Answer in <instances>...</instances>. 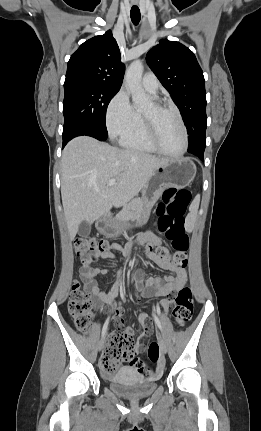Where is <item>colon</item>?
Masks as SVG:
<instances>
[{"label":"colon","instance_id":"obj_1","mask_svg":"<svg viewBox=\"0 0 261 431\" xmlns=\"http://www.w3.org/2000/svg\"><path fill=\"white\" fill-rule=\"evenodd\" d=\"M191 194L186 189L168 188L163 194V201L158 206L157 229L170 241L174 252L169 254L164 246L154 249L161 259H169L177 266H186L188 261L189 236L184 227V214L190 203ZM77 255L81 258L83 266H89L95 261L97 254L108 250L109 245L105 240L93 237H79L74 242ZM173 311V319L176 326L182 329L191 319L193 313V296L190 287H182L177 293L169 294L166 298ZM92 301L90 293L75 282L72 286L68 310L76 328L82 332H89L92 328ZM149 357L155 362L152 370L148 364H142L141 360H135L133 341L124 332H112L109 334L102 356V367L108 373L118 370L123 361H128L136 373H142V378L149 382L160 379L164 371L163 363L166 356L161 354L157 343H152L149 348Z\"/></svg>","mask_w":261,"mask_h":431}]
</instances>
